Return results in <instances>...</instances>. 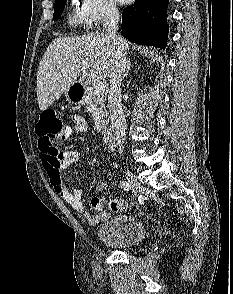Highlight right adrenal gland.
<instances>
[{"label":"right adrenal gland","mask_w":233,"mask_h":294,"mask_svg":"<svg viewBox=\"0 0 233 294\" xmlns=\"http://www.w3.org/2000/svg\"><path fill=\"white\" fill-rule=\"evenodd\" d=\"M129 71H130V61H128V63H127V69H126L124 76H127L129 74Z\"/></svg>","instance_id":"1"}]
</instances>
